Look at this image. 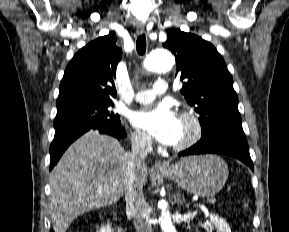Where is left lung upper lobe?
<instances>
[{
  "label": "left lung upper lobe",
  "mask_w": 289,
  "mask_h": 232,
  "mask_svg": "<svg viewBox=\"0 0 289 232\" xmlns=\"http://www.w3.org/2000/svg\"><path fill=\"white\" fill-rule=\"evenodd\" d=\"M163 46L176 58V75L184 80L180 92L199 115L201 140L228 132L244 133L233 79L216 48L180 29L168 33Z\"/></svg>",
  "instance_id": "5c2ea615"
}]
</instances>
